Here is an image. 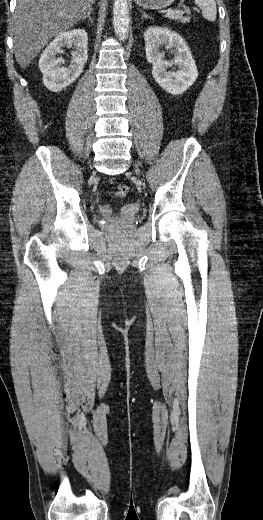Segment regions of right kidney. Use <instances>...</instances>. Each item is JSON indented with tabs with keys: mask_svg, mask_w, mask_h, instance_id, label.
<instances>
[{
	"mask_svg": "<svg viewBox=\"0 0 263 520\" xmlns=\"http://www.w3.org/2000/svg\"><path fill=\"white\" fill-rule=\"evenodd\" d=\"M63 47L74 49L68 68L62 66V57H56L63 52ZM87 59L88 35L84 29H73L59 34L43 51L39 60L44 85L52 92L62 91L80 76Z\"/></svg>",
	"mask_w": 263,
	"mask_h": 520,
	"instance_id": "ca27d5eb",
	"label": "right kidney"
}]
</instances>
